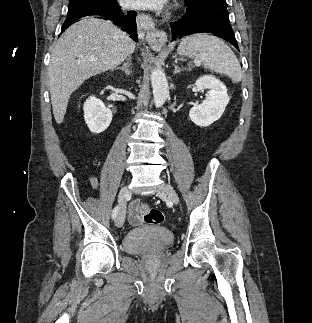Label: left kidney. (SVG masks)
Masks as SVG:
<instances>
[{
  "mask_svg": "<svg viewBox=\"0 0 312 323\" xmlns=\"http://www.w3.org/2000/svg\"><path fill=\"white\" fill-rule=\"evenodd\" d=\"M194 86L198 92H204V90H209V92L203 104L191 108L189 118L196 126H211L213 122L221 118L229 102L226 86L214 76H201Z\"/></svg>",
  "mask_w": 312,
  "mask_h": 323,
  "instance_id": "1",
  "label": "left kidney"
}]
</instances>
